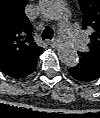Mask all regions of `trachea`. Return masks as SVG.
<instances>
[{"label": "trachea", "instance_id": "obj_1", "mask_svg": "<svg viewBox=\"0 0 100 118\" xmlns=\"http://www.w3.org/2000/svg\"><path fill=\"white\" fill-rule=\"evenodd\" d=\"M53 37V30L52 28L50 27H47L43 30V33H42V38L43 39H52Z\"/></svg>", "mask_w": 100, "mask_h": 118}]
</instances>
